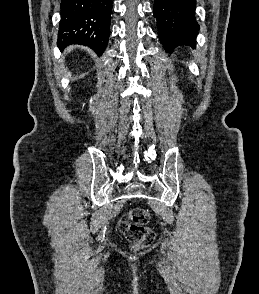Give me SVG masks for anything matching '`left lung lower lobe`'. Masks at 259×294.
Instances as JSON below:
<instances>
[{
	"mask_svg": "<svg viewBox=\"0 0 259 294\" xmlns=\"http://www.w3.org/2000/svg\"><path fill=\"white\" fill-rule=\"evenodd\" d=\"M195 5L196 0H155L159 40L167 52L179 45L195 46L199 30Z\"/></svg>",
	"mask_w": 259,
	"mask_h": 294,
	"instance_id": "obj_1",
	"label": "left lung lower lobe"
}]
</instances>
